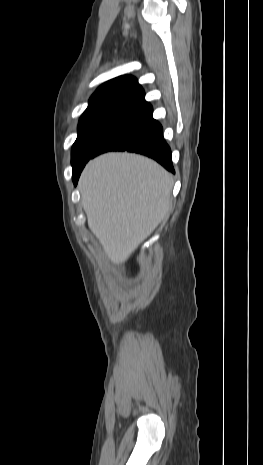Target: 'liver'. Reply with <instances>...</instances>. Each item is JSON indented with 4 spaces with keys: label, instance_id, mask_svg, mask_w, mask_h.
I'll list each match as a JSON object with an SVG mask.
<instances>
[{
    "label": "liver",
    "instance_id": "6515ba94",
    "mask_svg": "<svg viewBox=\"0 0 263 465\" xmlns=\"http://www.w3.org/2000/svg\"><path fill=\"white\" fill-rule=\"evenodd\" d=\"M173 180L155 161L107 153L84 168L79 189L88 226L113 264H122L168 216Z\"/></svg>",
    "mask_w": 263,
    "mask_h": 465
}]
</instances>
